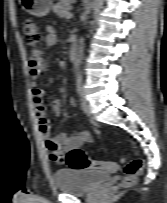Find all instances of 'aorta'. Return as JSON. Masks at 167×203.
I'll return each mask as SVG.
<instances>
[{
    "mask_svg": "<svg viewBox=\"0 0 167 203\" xmlns=\"http://www.w3.org/2000/svg\"><path fill=\"white\" fill-rule=\"evenodd\" d=\"M83 49H84V39L82 38L80 41L79 48H78V55H77V58L75 60V65L77 68H79V66L81 64Z\"/></svg>",
    "mask_w": 167,
    "mask_h": 203,
    "instance_id": "obj_1",
    "label": "aorta"
}]
</instances>
